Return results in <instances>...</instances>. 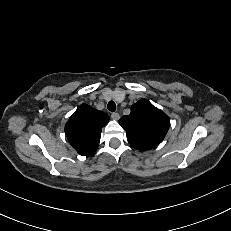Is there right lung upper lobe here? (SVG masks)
I'll use <instances>...</instances> for the list:
<instances>
[{"instance_id":"right-lung-upper-lobe-1","label":"right lung upper lobe","mask_w":231,"mask_h":231,"mask_svg":"<svg viewBox=\"0 0 231 231\" xmlns=\"http://www.w3.org/2000/svg\"><path fill=\"white\" fill-rule=\"evenodd\" d=\"M109 116L87 104L80 105L65 125V134L72 147L82 156L95 152L100 142L101 129Z\"/></svg>"}]
</instances>
